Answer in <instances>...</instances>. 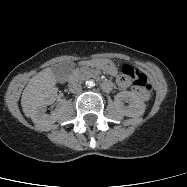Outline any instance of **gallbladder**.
Returning a JSON list of instances; mask_svg holds the SVG:
<instances>
[{
	"label": "gallbladder",
	"instance_id": "obj_1",
	"mask_svg": "<svg viewBox=\"0 0 187 187\" xmlns=\"http://www.w3.org/2000/svg\"><path fill=\"white\" fill-rule=\"evenodd\" d=\"M74 64L72 61H65L52 67L53 74L57 81H64L72 72Z\"/></svg>",
	"mask_w": 187,
	"mask_h": 187
}]
</instances>
